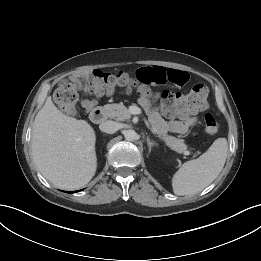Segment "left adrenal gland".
<instances>
[{
  "label": "left adrenal gland",
  "instance_id": "1",
  "mask_svg": "<svg viewBox=\"0 0 261 261\" xmlns=\"http://www.w3.org/2000/svg\"><path fill=\"white\" fill-rule=\"evenodd\" d=\"M146 140H147V145H148V151L150 153L152 150V147L153 146L157 147L158 144L155 141H151L149 137H147Z\"/></svg>",
  "mask_w": 261,
  "mask_h": 261
}]
</instances>
